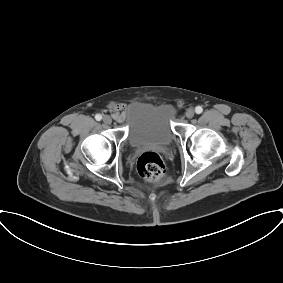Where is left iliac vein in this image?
Returning a JSON list of instances; mask_svg holds the SVG:
<instances>
[{
	"label": "left iliac vein",
	"mask_w": 283,
	"mask_h": 283,
	"mask_svg": "<svg viewBox=\"0 0 283 283\" xmlns=\"http://www.w3.org/2000/svg\"><path fill=\"white\" fill-rule=\"evenodd\" d=\"M194 114H195V112H194V110L193 109H187V111H186V113H185V115H186V117L187 118H192L193 116H194Z\"/></svg>",
	"instance_id": "1"
}]
</instances>
